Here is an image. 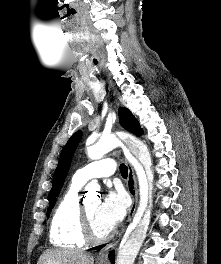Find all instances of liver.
Masks as SVG:
<instances>
[{"mask_svg":"<svg viewBox=\"0 0 221 264\" xmlns=\"http://www.w3.org/2000/svg\"><path fill=\"white\" fill-rule=\"evenodd\" d=\"M37 264H94V257L84 251L54 249L44 251Z\"/></svg>","mask_w":221,"mask_h":264,"instance_id":"obj_1","label":"liver"}]
</instances>
